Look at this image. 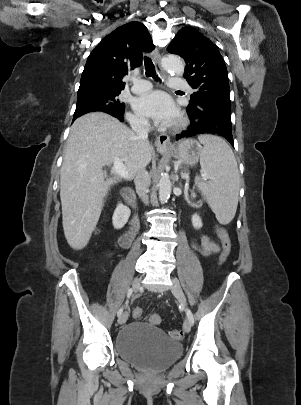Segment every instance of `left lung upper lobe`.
Masks as SVG:
<instances>
[{"mask_svg": "<svg viewBox=\"0 0 301 405\" xmlns=\"http://www.w3.org/2000/svg\"><path fill=\"white\" fill-rule=\"evenodd\" d=\"M167 50L186 62L184 77L195 89L187 110L206 106L231 113L227 69L215 44L186 26L179 30Z\"/></svg>", "mask_w": 301, "mask_h": 405, "instance_id": "5c2ea615", "label": "left lung upper lobe"}]
</instances>
